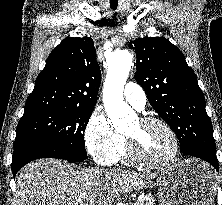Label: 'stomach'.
I'll use <instances>...</instances> for the list:
<instances>
[{
  "mask_svg": "<svg viewBox=\"0 0 222 205\" xmlns=\"http://www.w3.org/2000/svg\"><path fill=\"white\" fill-rule=\"evenodd\" d=\"M156 184L160 205H211L216 193L213 170L197 160L163 169Z\"/></svg>",
  "mask_w": 222,
  "mask_h": 205,
  "instance_id": "0dacf381",
  "label": "stomach"
}]
</instances>
